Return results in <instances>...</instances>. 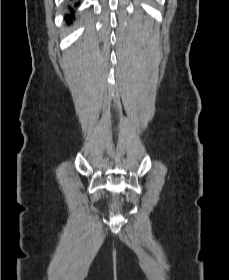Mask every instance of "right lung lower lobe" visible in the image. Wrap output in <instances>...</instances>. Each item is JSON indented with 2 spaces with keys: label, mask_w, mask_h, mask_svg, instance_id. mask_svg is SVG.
Returning <instances> with one entry per match:
<instances>
[{
  "label": "right lung lower lobe",
  "mask_w": 229,
  "mask_h": 280,
  "mask_svg": "<svg viewBox=\"0 0 229 280\" xmlns=\"http://www.w3.org/2000/svg\"><path fill=\"white\" fill-rule=\"evenodd\" d=\"M66 18H67V20L70 21V20L73 18V15H69V16H67Z\"/></svg>",
  "instance_id": "right-lung-lower-lobe-1"
}]
</instances>
